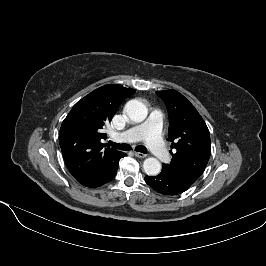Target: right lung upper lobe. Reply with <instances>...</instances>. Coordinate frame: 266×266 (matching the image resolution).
Returning a JSON list of instances; mask_svg holds the SVG:
<instances>
[{
    "label": "right lung upper lobe",
    "instance_id": "right-lung-upper-lobe-1",
    "mask_svg": "<svg viewBox=\"0 0 266 266\" xmlns=\"http://www.w3.org/2000/svg\"><path fill=\"white\" fill-rule=\"evenodd\" d=\"M134 93V89L121 85L102 86L79 100L62 122L61 151L69 171L79 183L95 177L121 155L122 152L101 142L106 138L103 130L120 104Z\"/></svg>",
    "mask_w": 266,
    "mask_h": 266
}]
</instances>
